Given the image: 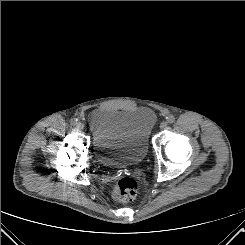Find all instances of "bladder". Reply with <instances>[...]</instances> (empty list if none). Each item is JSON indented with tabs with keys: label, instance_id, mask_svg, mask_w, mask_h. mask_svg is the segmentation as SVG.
Instances as JSON below:
<instances>
[{
	"label": "bladder",
	"instance_id": "1",
	"mask_svg": "<svg viewBox=\"0 0 245 245\" xmlns=\"http://www.w3.org/2000/svg\"><path fill=\"white\" fill-rule=\"evenodd\" d=\"M155 123V112L146 106L94 109L87 125L98 161L108 168L139 163L147 154Z\"/></svg>",
	"mask_w": 245,
	"mask_h": 245
}]
</instances>
